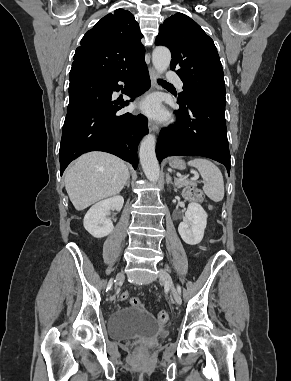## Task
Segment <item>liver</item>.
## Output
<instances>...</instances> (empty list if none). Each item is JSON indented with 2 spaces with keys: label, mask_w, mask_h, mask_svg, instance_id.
Returning <instances> with one entry per match:
<instances>
[{
  "label": "liver",
  "mask_w": 291,
  "mask_h": 381,
  "mask_svg": "<svg viewBox=\"0 0 291 381\" xmlns=\"http://www.w3.org/2000/svg\"><path fill=\"white\" fill-rule=\"evenodd\" d=\"M128 177V167L120 158L104 152H90L79 157L67 170L64 182L73 206L81 211L120 193Z\"/></svg>",
  "instance_id": "obj_1"
}]
</instances>
